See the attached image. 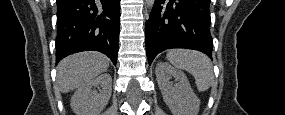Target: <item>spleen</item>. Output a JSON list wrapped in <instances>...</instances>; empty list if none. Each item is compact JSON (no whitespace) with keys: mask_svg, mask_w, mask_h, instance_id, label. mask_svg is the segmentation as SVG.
I'll return each mask as SVG.
<instances>
[{"mask_svg":"<svg viewBox=\"0 0 285 115\" xmlns=\"http://www.w3.org/2000/svg\"><path fill=\"white\" fill-rule=\"evenodd\" d=\"M167 59L174 67L192 74L200 92L211 87L214 81L213 67L205 54L195 50L173 49L168 51Z\"/></svg>","mask_w":285,"mask_h":115,"instance_id":"1","label":"spleen"}]
</instances>
